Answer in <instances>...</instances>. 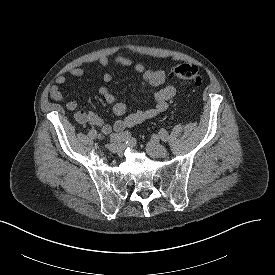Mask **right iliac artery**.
I'll return each instance as SVG.
<instances>
[{
  "instance_id": "right-iliac-artery-1",
  "label": "right iliac artery",
  "mask_w": 275,
  "mask_h": 275,
  "mask_svg": "<svg viewBox=\"0 0 275 275\" xmlns=\"http://www.w3.org/2000/svg\"><path fill=\"white\" fill-rule=\"evenodd\" d=\"M88 136L91 139H95L97 137V131L95 129H91L88 133ZM130 137V132L125 131L122 133H118V134H114L111 136V140L112 141H117V142H121V141H126L128 140Z\"/></svg>"
}]
</instances>
